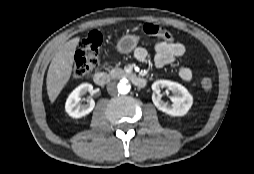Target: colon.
I'll return each mask as SVG.
<instances>
[{
    "mask_svg": "<svg viewBox=\"0 0 254 174\" xmlns=\"http://www.w3.org/2000/svg\"><path fill=\"white\" fill-rule=\"evenodd\" d=\"M142 31L146 35L157 37L165 42L174 40L173 34L168 29L152 23H145ZM102 42V35L98 31L89 32L79 41L74 55L73 78L82 79L98 66ZM201 86L206 92H209L213 87V82L206 77L202 79Z\"/></svg>",
    "mask_w": 254,
    "mask_h": 174,
    "instance_id": "colon-1",
    "label": "colon"
}]
</instances>
